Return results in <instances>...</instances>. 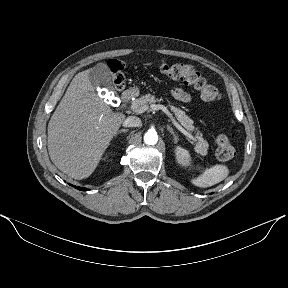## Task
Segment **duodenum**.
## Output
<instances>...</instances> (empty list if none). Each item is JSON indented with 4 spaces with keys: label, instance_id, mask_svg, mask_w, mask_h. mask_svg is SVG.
<instances>
[{
    "label": "duodenum",
    "instance_id": "obj_1",
    "mask_svg": "<svg viewBox=\"0 0 288 288\" xmlns=\"http://www.w3.org/2000/svg\"><path fill=\"white\" fill-rule=\"evenodd\" d=\"M134 92L131 90H126L122 93L121 99L123 103L129 102L134 97Z\"/></svg>",
    "mask_w": 288,
    "mask_h": 288
}]
</instances>
